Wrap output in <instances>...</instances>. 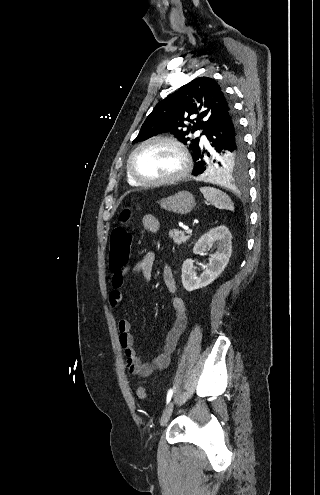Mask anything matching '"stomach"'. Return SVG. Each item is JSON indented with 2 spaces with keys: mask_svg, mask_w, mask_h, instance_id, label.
<instances>
[{
  "mask_svg": "<svg viewBox=\"0 0 320 495\" xmlns=\"http://www.w3.org/2000/svg\"><path fill=\"white\" fill-rule=\"evenodd\" d=\"M159 204L162 209L183 215L192 211L195 206V199L188 191H180L173 196L162 199Z\"/></svg>",
  "mask_w": 320,
  "mask_h": 495,
  "instance_id": "0dacf381",
  "label": "stomach"
}]
</instances>
